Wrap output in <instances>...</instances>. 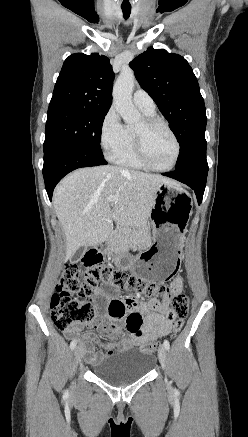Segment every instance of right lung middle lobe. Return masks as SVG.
Segmentation results:
<instances>
[{
    "label": "right lung middle lobe",
    "instance_id": "1",
    "mask_svg": "<svg viewBox=\"0 0 248 437\" xmlns=\"http://www.w3.org/2000/svg\"><path fill=\"white\" fill-rule=\"evenodd\" d=\"M107 112L68 103H50L44 151L56 146L69 145L103 156L100 139Z\"/></svg>",
    "mask_w": 248,
    "mask_h": 437
}]
</instances>
